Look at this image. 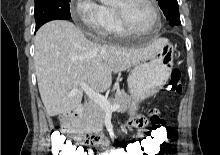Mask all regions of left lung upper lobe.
Returning <instances> with one entry per match:
<instances>
[{"label":"left lung upper lobe","instance_id":"left-lung-upper-lobe-1","mask_svg":"<svg viewBox=\"0 0 220 155\" xmlns=\"http://www.w3.org/2000/svg\"><path fill=\"white\" fill-rule=\"evenodd\" d=\"M158 4L164 12L167 20L179 16L177 0H158Z\"/></svg>","mask_w":220,"mask_h":155}]
</instances>
